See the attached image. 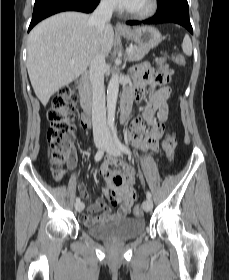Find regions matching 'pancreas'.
<instances>
[{
  "label": "pancreas",
  "instance_id": "obj_1",
  "mask_svg": "<svg viewBox=\"0 0 229 280\" xmlns=\"http://www.w3.org/2000/svg\"><path fill=\"white\" fill-rule=\"evenodd\" d=\"M132 52L128 54L129 61H140L149 52L148 49L140 48L136 45H132Z\"/></svg>",
  "mask_w": 229,
  "mask_h": 280
}]
</instances>
